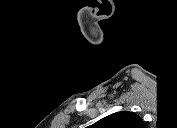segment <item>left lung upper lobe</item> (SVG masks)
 <instances>
[{
	"label": "left lung upper lobe",
	"instance_id": "left-lung-upper-lobe-1",
	"mask_svg": "<svg viewBox=\"0 0 177 128\" xmlns=\"http://www.w3.org/2000/svg\"><path fill=\"white\" fill-rule=\"evenodd\" d=\"M98 128H144L145 124L141 117L129 111L113 113L98 122Z\"/></svg>",
	"mask_w": 177,
	"mask_h": 128
}]
</instances>
